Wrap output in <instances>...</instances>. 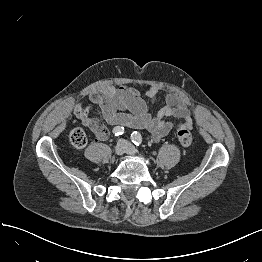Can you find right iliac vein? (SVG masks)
Returning a JSON list of instances; mask_svg holds the SVG:
<instances>
[{"label":"right iliac vein","mask_w":262,"mask_h":262,"mask_svg":"<svg viewBox=\"0 0 262 262\" xmlns=\"http://www.w3.org/2000/svg\"><path fill=\"white\" fill-rule=\"evenodd\" d=\"M126 150H127L126 142L124 140L118 141L114 149L115 154L121 156L126 152Z\"/></svg>","instance_id":"obj_1"}]
</instances>
